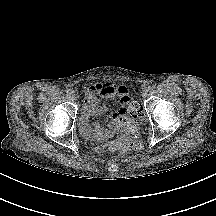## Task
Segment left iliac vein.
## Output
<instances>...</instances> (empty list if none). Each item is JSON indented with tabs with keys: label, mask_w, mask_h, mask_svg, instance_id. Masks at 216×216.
I'll list each match as a JSON object with an SVG mask.
<instances>
[{
	"label": "left iliac vein",
	"mask_w": 216,
	"mask_h": 216,
	"mask_svg": "<svg viewBox=\"0 0 216 216\" xmlns=\"http://www.w3.org/2000/svg\"><path fill=\"white\" fill-rule=\"evenodd\" d=\"M148 95H149V91H148V90H144V91L142 92V97H143V98H146Z\"/></svg>",
	"instance_id": "1"
}]
</instances>
